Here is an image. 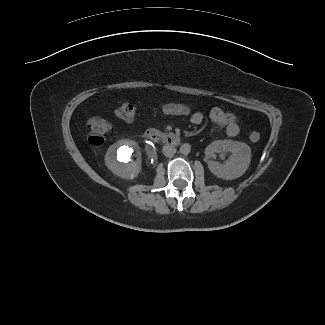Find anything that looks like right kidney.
I'll return each instance as SVG.
<instances>
[{
    "label": "right kidney",
    "instance_id": "1",
    "mask_svg": "<svg viewBox=\"0 0 325 325\" xmlns=\"http://www.w3.org/2000/svg\"><path fill=\"white\" fill-rule=\"evenodd\" d=\"M135 157L136 160H132ZM106 166L117 176L129 179L142 170L141 151L135 141L123 139L111 145L105 155Z\"/></svg>",
    "mask_w": 325,
    "mask_h": 325
}]
</instances>
